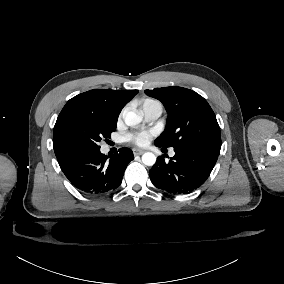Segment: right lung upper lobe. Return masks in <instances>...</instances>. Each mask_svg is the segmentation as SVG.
Instances as JSON below:
<instances>
[{
	"instance_id": "right-lung-upper-lobe-1",
	"label": "right lung upper lobe",
	"mask_w": 284,
	"mask_h": 284,
	"mask_svg": "<svg viewBox=\"0 0 284 284\" xmlns=\"http://www.w3.org/2000/svg\"><path fill=\"white\" fill-rule=\"evenodd\" d=\"M138 93V90L93 89L71 98L61 113L71 106H81L96 112L108 120L118 119L122 108ZM53 147L58 161L74 154L64 147L59 139L57 124L53 132Z\"/></svg>"
}]
</instances>
